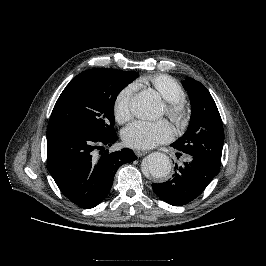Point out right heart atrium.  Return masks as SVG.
I'll list each match as a JSON object with an SVG mask.
<instances>
[{
	"mask_svg": "<svg viewBox=\"0 0 266 266\" xmlns=\"http://www.w3.org/2000/svg\"><path fill=\"white\" fill-rule=\"evenodd\" d=\"M133 86L123 88L115 97L113 112L119 123H124L131 118V102L133 97Z\"/></svg>",
	"mask_w": 266,
	"mask_h": 266,
	"instance_id": "right-heart-atrium-1",
	"label": "right heart atrium"
}]
</instances>
